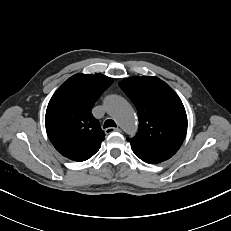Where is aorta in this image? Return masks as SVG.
Wrapping results in <instances>:
<instances>
[{"instance_id":"1","label":"aorta","mask_w":231,"mask_h":231,"mask_svg":"<svg viewBox=\"0 0 231 231\" xmlns=\"http://www.w3.org/2000/svg\"><path fill=\"white\" fill-rule=\"evenodd\" d=\"M105 107L125 132L133 134L136 131V120L133 110L124 98L111 95L106 99Z\"/></svg>"}]
</instances>
